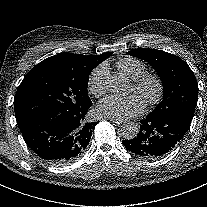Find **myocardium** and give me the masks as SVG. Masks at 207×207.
<instances>
[{
	"label": "myocardium",
	"instance_id": "myocardium-1",
	"mask_svg": "<svg viewBox=\"0 0 207 207\" xmlns=\"http://www.w3.org/2000/svg\"><path fill=\"white\" fill-rule=\"evenodd\" d=\"M133 90L143 96L147 106H152L162 99L164 84L157 74H144L133 83Z\"/></svg>",
	"mask_w": 207,
	"mask_h": 207
}]
</instances>
